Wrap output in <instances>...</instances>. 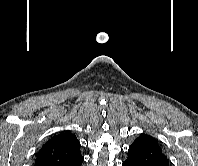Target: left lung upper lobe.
Returning a JSON list of instances; mask_svg holds the SVG:
<instances>
[{"mask_svg": "<svg viewBox=\"0 0 198 166\" xmlns=\"http://www.w3.org/2000/svg\"><path fill=\"white\" fill-rule=\"evenodd\" d=\"M127 158L142 166H169V160L158 141L144 133L131 144Z\"/></svg>", "mask_w": 198, "mask_h": 166, "instance_id": "left-lung-upper-lobe-1", "label": "left lung upper lobe"}]
</instances>
